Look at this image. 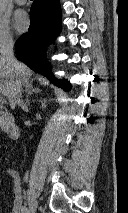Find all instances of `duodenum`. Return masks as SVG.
I'll return each mask as SVG.
<instances>
[{
  "instance_id": "obj_1",
  "label": "duodenum",
  "mask_w": 128,
  "mask_h": 213,
  "mask_svg": "<svg viewBox=\"0 0 128 213\" xmlns=\"http://www.w3.org/2000/svg\"><path fill=\"white\" fill-rule=\"evenodd\" d=\"M0 124L12 140H17L20 137V129L11 114L0 111Z\"/></svg>"
}]
</instances>
